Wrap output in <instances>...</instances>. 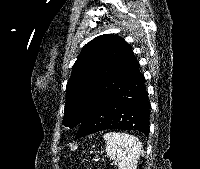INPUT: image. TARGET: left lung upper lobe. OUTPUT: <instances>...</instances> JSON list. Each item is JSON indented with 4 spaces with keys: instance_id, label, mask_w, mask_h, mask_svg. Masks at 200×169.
Listing matches in <instances>:
<instances>
[{
    "instance_id": "1",
    "label": "left lung upper lobe",
    "mask_w": 200,
    "mask_h": 169,
    "mask_svg": "<svg viewBox=\"0 0 200 169\" xmlns=\"http://www.w3.org/2000/svg\"><path fill=\"white\" fill-rule=\"evenodd\" d=\"M139 68L128 43L112 34L84 46L67 83L63 125L80 124L92 107Z\"/></svg>"
}]
</instances>
